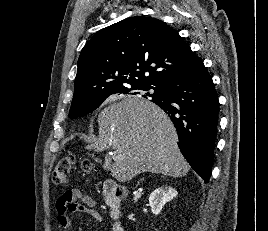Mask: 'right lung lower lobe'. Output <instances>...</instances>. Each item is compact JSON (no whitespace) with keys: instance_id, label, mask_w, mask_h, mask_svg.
Masks as SVG:
<instances>
[{"instance_id":"98d812e1","label":"right lung lower lobe","mask_w":268,"mask_h":231,"mask_svg":"<svg viewBox=\"0 0 268 231\" xmlns=\"http://www.w3.org/2000/svg\"><path fill=\"white\" fill-rule=\"evenodd\" d=\"M152 99L172 120L178 146L196 173L209 182L214 160L219 103L204 64L194 73L168 81Z\"/></svg>"}]
</instances>
